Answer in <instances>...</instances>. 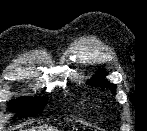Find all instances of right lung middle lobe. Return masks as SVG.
Here are the masks:
<instances>
[{"mask_svg": "<svg viewBox=\"0 0 147 131\" xmlns=\"http://www.w3.org/2000/svg\"><path fill=\"white\" fill-rule=\"evenodd\" d=\"M46 102L47 98H26L17 101L13 100L11 102L10 109H15L17 111L18 114L16 117H27L41 112L45 107Z\"/></svg>", "mask_w": 147, "mask_h": 131, "instance_id": "dd1d6c3e", "label": "right lung middle lobe"}]
</instances>
